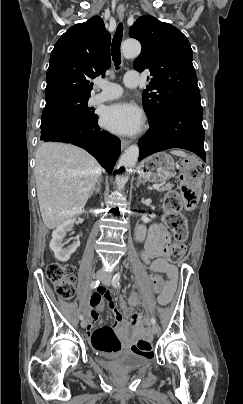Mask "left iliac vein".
<instances>
[{
	"mask_svg": "<svg viewBox=\"0 0 243 404\" xmlns=\"http://www.w3.org/2000/svg\"><path fill=\"white\" fill-rule=\"evenodd\" d=\"M102 283L106 286H109L111 284V274H106L103 278H102ZM151 332L152 334H157L158 333V327L156 325H152L151 326Z\"/></svg>",
	"mask_w": 243,
	"mask_h": 404,
	"instance_id": "1",
	"label": "left iliac vein"
}]
</instances>
